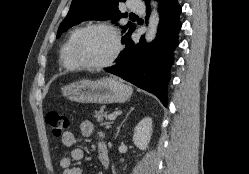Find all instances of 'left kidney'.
Listing matches in <instances>:
<instances>
[{
  "instance_id": "left-kidney-1",
  "label": "left kidney",
  "mask_w": 249,
  "mask_h": 174,
  "mask_svg": "<svg viewBox=\"0 0 249 174\" xmlns=\"http://www.w3.org/2000/svg\"><path fill=\"white\" fill-rule=\"evenodd\" d=\"M152 119H142L134 129L133 142L141 150L148 148L152 135Z\"/></svg>"
}]
</instances>
